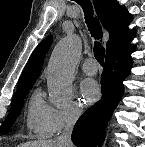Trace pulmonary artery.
Instances as JSON below:
<instances>
[{
    "mask_svg": "<svg viewBox=\"0 0 145 147\" xmlns=\"http://www.w3.org/2000/svg\"><path fill=\"white\" fill-rule=\"evenodd\" d=\"M82 70L87 75H95L98 72V66L93 59H87L82 64Z\"/></svg>",
    "mask_w": 145,
    "mask_h": 147,
    "instance_id": "e3ab8cb5",
    "label": "pulmonary artery"
}]
</instances>
